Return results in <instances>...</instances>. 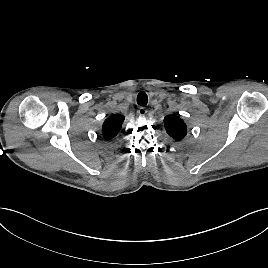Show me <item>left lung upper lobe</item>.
I'll return each instance as SVG.
<instances>
[{
  "instance_id": "1",
  "label": "left lung upper lobe",
  "mask_w": 268,
  "mask_h": 268,
  "mask_svg": "<svg viewBox=\"0 0 268 268\" xmlns=\"http://www.w3.org/2000/svg\"><path fill=\"white\" fill-rule=\"evenodd\" d=\"M165 129L170 137L179 142L187 135V126L177 115H168L164 118Z\"/></svg>"
}]
</instances>
